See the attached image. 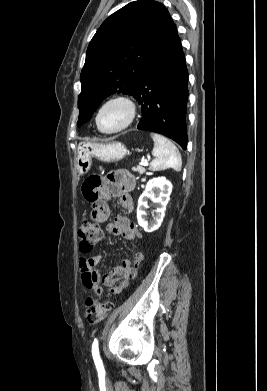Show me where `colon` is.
<instances>
[{"label": "colon", "instance_id": "colon-1", "mask_svg": "<svg viewBox=\"0 0 267 391\" xmlns=\"http://www.w3.org/2000/svg\"><path fill=\"white\" fill-rule=\"evenodd\" d=\"M103 235V229L99 223L84 220L78 228L79 249L82 253L91 252ZM112 309V303L99 301L93 297L86 299V318L89 323L96 324L106 318Z\"/></svg>", "mask_w": 267, "mask_h": 391}]
</instances>
